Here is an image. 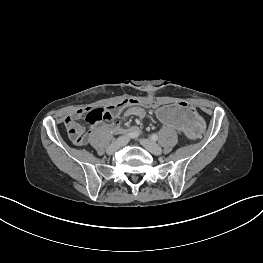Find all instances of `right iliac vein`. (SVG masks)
<instances>
[{"instance_id":"obj_1","label":"right iliac vein","mask_w":263,"mask_h":263,"mask_svg":"<svg viewBox=\"0 0 263 263\" xmlns=\"http://www.w3.org/2000/svg\"><path fill=\"white\" fill-rule=\"evenodd\" d=\"M127 143V138L126 137H120L119 139L115 140L114 142H112L106 152L109 155L114 154L119 148H121L122 146H124Z\"/></svg>"}]
</instances>
